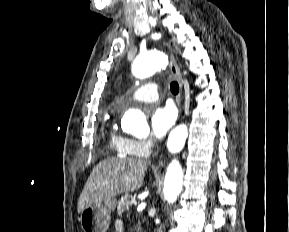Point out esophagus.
<instances>
[{
    "instance_id": "obj_1",
    "label": "esophagus",
    "mask_w": 289,
    "mask_h": 232,
    "mask_svg": "<svg viewBox=\"0 0 289 232\" xmlns=\"http://www.w3.org/2000/svg\"><path fill=\"white\" fill-rule=\"evenodd\" d=\"M170 70H171V73H172L173 77L177 80V82L179 84L180 96H182V93H183L182 76H181V73H180V69H179V67L177 65V62L175 60V57H174V55L172 53L170 54ZM179 110H180V113H181V104H179ZM162 165H163V160H160L156 167L159 168Z\"/></svg>"
}]
</instances>
